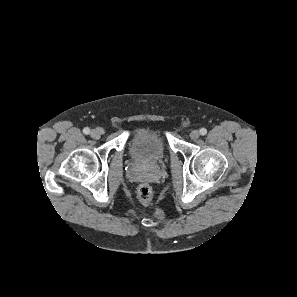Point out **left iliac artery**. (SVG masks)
Returning a JSON list of instances; mask_svg holds the SVG:
<instances>
[{
    "label": "left iliac artery",
    "mask_w": 297,
    "mask_h": 297,
    "mask_svg": "<svg viewBox=\"0 0 297 297\" xmlns=\"http://www.w3.org/2000/svg\"><path fill=\"white\" fill-rule=\"evenodd\" d=\"M206 133H207V130L205 128L200 129V134L201 135H206Z\"/></svg>",
    "instance_id": "left-iliac-artery-1"
}]
</instances>
